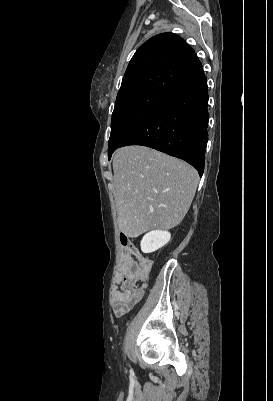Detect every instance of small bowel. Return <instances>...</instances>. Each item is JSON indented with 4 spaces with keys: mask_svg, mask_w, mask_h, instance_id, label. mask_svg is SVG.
<instances>
[{
    "mask_svg": "<svg viewBox=\"0 0 273 401\" xmlns=\"http://www.w3.org/2000/svg\"><path fill=\"white\" fill-rule=\"evenodd\" d=\"M123 245H126L127 251L131 252V256L136 255V249L131 243L123 242ZM117 271H121L120 266L117 267L116 272ZM114 278H116V276ZM146 281L147 280H140V282L144 283V289L147 287ZM114 296L115 303L113 302V310L118 317L125 315L136 304H142L144 301L141 290H132V286H127V290H116Z\"/></svg>",
    "mask_w": 273,
    "mask_h": 401,
    "instance_id": "small-bowel-1",
    "label": "small bowel"
}]
</instances>
